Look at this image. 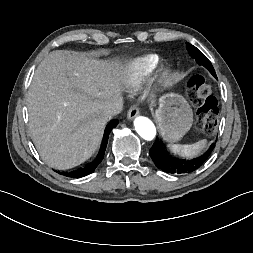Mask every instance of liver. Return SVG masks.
I'll use <instances>...</instances> for the list:
<instances>
[{
	"label": "liver",
	"mask_w": 253,
	"mask_h": 253,
	"mask_svg": "<svg viewBox=\"0 0 253 253\" xmlns=\"http://www.w3.org/2000/svg\"><path fill=\"white\" fill-rule=\"evenodd\" d=\"M118 59L55 50L35 70L27 93L29 134L41 158L56 169L75 167L96 151L108 118L104 107L121 97Z\"/></svg>",
	"instance_id": "6515ba94"
}]
</instances>
